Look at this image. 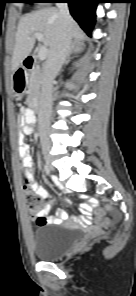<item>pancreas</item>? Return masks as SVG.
<instances>
[{"label":"pancreas","instance_id":"pancreas-1","mask_svg":"<svg viewBox=\"0 0 136 296\" xmlns=\"http://www.w3.org/2000/svg\"><path fill=\"white\" fill-rule=\"evenodd\" d=\"M42 84V71L40 67H35L30 72L28 83V98L29 102L35 103L39 97Z\"/></svg>","mask_w":136,"mask_h":296}]
</instances>
